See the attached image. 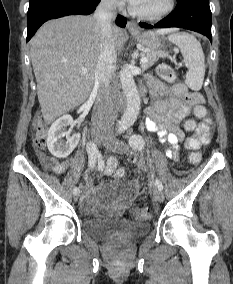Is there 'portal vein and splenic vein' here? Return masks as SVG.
I'll return each mask as SVG.
<instances>
[{
    "label": "portal vein and splenic vein",
    "instance_id": "18ae733b",
    "mask_svg": "<svg viewBox=\"0 0 233 284\" xmlns=\"http://www.w3.org/2000/svg\"><path fill=\"white\" fill-rule=\"evenodd\" d=\"M140 62H141V63L147 62V58H146V57H142V58L140 59ZM86 72H87V69H86V68H83V69H82V73H86Z\"/></svg>",
    "mask_w": 233,
    "mask_h": 284
}]
</instances>
